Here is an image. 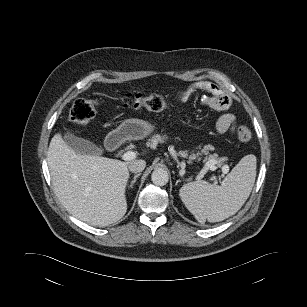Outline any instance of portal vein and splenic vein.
Instances as JSON below:
<instances>
[{
	"label": "portal vein and splenic vein",
	"instance_id": "18ae733b",
	"mask_svg": "<svg viewBox=\"0 0 307 307\" xmlns=\"http://www.w3.org/2000/svg\"><path fill=\"white\" fill-rule=\"evenodd\" d=\"M136 158V153L133 151H127L122 155V159L125 161H131L133 159ZM216 161H210L208 163L205 164V166L203 167L202 171L204 173L208 172L209 170L211 171H215L217 169V167L215 166ZM222 171L224 173H227L229 171V167L227 165H224L222 167ZM215 181H217V177H215Z\"/></svg>",
	"mask_w": 307,
	"mask_h": 307
}]
</instances>
